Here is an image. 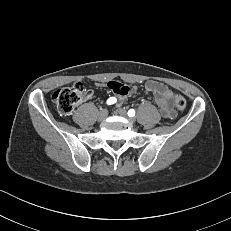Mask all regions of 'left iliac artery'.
<instances>
[{"label": "left iliac artery", "mask_w": 231, "mask_h": 231, "mask_svg": "<svg viewBox=\"0 0 231 231\" xmlns=\"http://www.w3.org/2000/svg\"><path fill=\"white\" fill-rule=\"evenodd\" d=\"M128 116H129V117L135 116V110H134V109H130V110L128 111Z\"/></svg>", "instance_id": "1"}]
</instances>
